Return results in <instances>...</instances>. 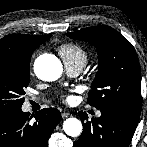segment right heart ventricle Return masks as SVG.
<instances>
[{
	"label": "right heart ventricle",
	"mask_w": 147,
	"mask_h": 147,
	"mask_svg": "<svg viewBox=\"0 0 147 147\" xmlns=\"http://www.w3.org/2000/svg\"><path fill=\"white\" fill-rule=\"evenodd\" d=\"M65 65H78L83 68L88 59L87 51L80 45L66 43L58 48Z\"/></svg>",
	"instance_id": "obj_1"
}]
</instances>
